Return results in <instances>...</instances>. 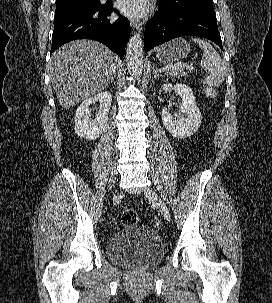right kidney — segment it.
<instances>
[{"mask_svg":"<svg viewBox=\"0 0 272 303\" xmlns=\"http://www.w3.org/2000/svg\"><path fill=\"white\" fill-rule=\"evenodd\" d=\"M100 102L95 118H91L89 106ZM112 103L109 91H104L84 100L75 113V133L85 139L94 140L105 130L108 114Z\"/></svg>","mask_w":272,"mask_h":303,"instance_id":"right-kidney-1","label":"right kidney"}]
</instances>
